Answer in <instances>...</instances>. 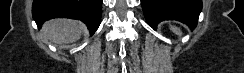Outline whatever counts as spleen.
<instances>
[{
  "instance_id": "1",
  "label": "spleen",
  "mask_w": 244,
  "mask_h": 73,
  "mask_svg": "<svg viewBox=\"0 0 244 73\" xmlns=\"http://www.w3.org/2000/svg\"><path fill=\"white\" fill-rule=\"evenodd\" d=\"M170 29L177 35H181V30L180 28L176 27V26H171Z\"/></svg>"
}]
</instances>
